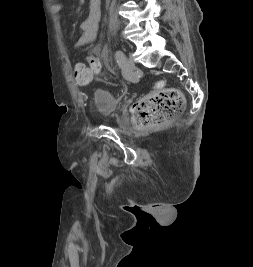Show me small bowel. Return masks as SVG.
I'll return each mask as SVG.
<instances>
[{"mask_svg": "<svg viewBox=\"0 0 253 267\" xmlns=\"http://www.w3.org/2000/svg\"><path fill=\"white\" fill-rule=\"evenodd\" d=\"M54 1V0H51ZM52 13L57 17L58 21L61 20L62 5L53 3L51 6ZM101 16V2L100 0H90L88 16L80 24L81 34L74 44L75 48L82 47L96 37L98 24Z\"/></svg>", "mask_w": 253, "mask_h": 267, "instance_id": "1", "label": "small bowel"}]
</instances>
